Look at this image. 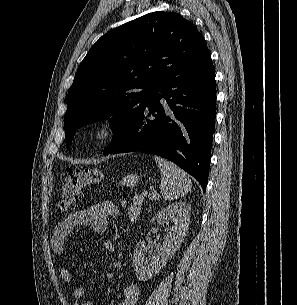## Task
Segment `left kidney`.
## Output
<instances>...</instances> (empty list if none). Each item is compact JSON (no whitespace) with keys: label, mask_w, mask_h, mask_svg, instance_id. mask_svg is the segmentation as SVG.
Instances as JSON below:
<instances>
[{"label":"left kidney","mask_w":297,"mask_h":305,"mask_svg":"<svg viewBox=\"0 0 297 305\" xmlns=\"http://www.w3.org/2000/svg\"><path fill=\"white\" fill-rule=\"evenodd\" d=\"M190 211V204L185 201L170 204L158 212L156 216L158 224L167 226L169 222H172L174 226L167 229L168 234L165 241L150 260L145 255L149 246L145 242L136 244L133 266L140 281H146L156 275L179 249L188 232Z\"/></svg>","instance_id":"left-kidney-1"}]
</instances>
